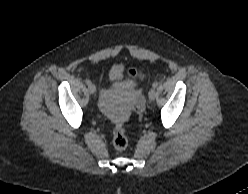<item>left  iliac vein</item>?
<instances>
[{
	"mask_svg": "<svg viewBox=\"0 0 248 194\" xmlns=\"http://www.w3.org/2000/svg\"><path fill=\"white\" fill-rule=\"evenodd\" d=\"M149 99L151 100V101H153V100H155V98H156V96H157V93H156V91H155V89H151L150 91H149Z\"/></svg>",
	"mask_w": 248,
	"mask_h": 194,
	"instance_id": "1",
	"label": "left iliac vein"
}]
</instances>
